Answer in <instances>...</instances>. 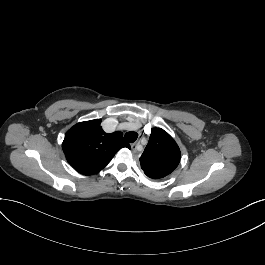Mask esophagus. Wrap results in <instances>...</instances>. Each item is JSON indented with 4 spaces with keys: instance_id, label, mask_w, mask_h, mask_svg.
<instances>
[{
    "instance_id": "34e87169",
    "label": "esophagus",
    "mask_w": 265,
    "mask_h": 265,
    "mask_svg": "<svg viewBox=\"0 0 265 265\" xmlns=\"http://www.w3.org/2000/svg\"><path fill=\"white\" fill-rule=\"evenodd\" d=\"M139 145V141H136L134 143L131 144V150L133 153L137 152V146Z\"/></svg>"
}]
</instances>
